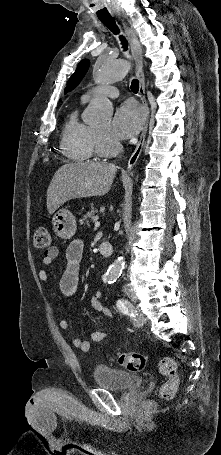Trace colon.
Instances as JSON below:
<instances>
[{
	"instance_id": "colon-1",
	"label": "colon",
	"mask_w": 221,
	"mask_h": 455,
	"mask_svg": "<svg viewBox=\"0 0 221 455\" xmlns=\"http://www.w3.org/2000/svg\"><path fill=\"white\" fill-rule=\"evenodd\" d=\"M34 247L46 251L51 248V234L48 229L38 228L35 231ZM117 361L120 366L132 372L142 371L146 366V358L140 353L119 354ZM159 369L163 375L168 377V381L160 389V394L163 398H171L179 385L176 362L170 357H164L159 362Z\"/></svg>"
}]
</instances>
